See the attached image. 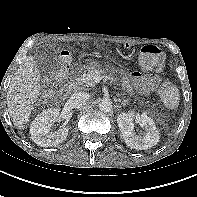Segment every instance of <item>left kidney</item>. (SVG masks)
<instances>
[{"label": "left kidney", "instance_id": "left-kidney-1", "mask_svg": "<svg viewBox=\"0 0 197 197\" xmlns=\"http://www.w3.org/2000/svg\"><path fill=\"white\" fill-rule=\"evenodd\" d=\"M134 122L145 129L144 135H137L134 130ZM117 123L127 146L146 150L155 146L160 135L152 118L145 112L142 114L135 112L121 113L117 118Z\"/></svg>", "mask_w": 197, "mask_h": 197}]
</instances>
